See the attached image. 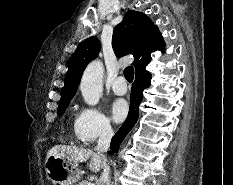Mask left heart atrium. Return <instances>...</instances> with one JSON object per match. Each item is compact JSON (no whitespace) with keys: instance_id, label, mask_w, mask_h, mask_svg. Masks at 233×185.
Returning <instances> with one entry per match:
<instances>
[{"instance_id":"1","label":"left heart atrium","mask_w":233,"mask_h":185,"mask_svg":"<svg viewBox=\"0 0 233 185\" xmlns=\"http://www.w3.org/2000/svg\"><path fill=\"white\" fill-rule=\"evenodd\" d=\"M128 113V105L123 99H116L111 105V115L114 121H122Z\"/></svg>"}]
</instances>
